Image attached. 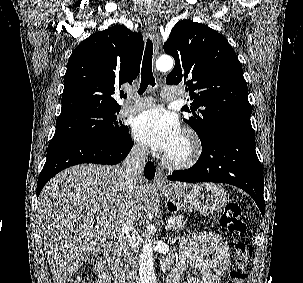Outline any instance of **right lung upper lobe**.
Masks as SVG:
<instances>
[{
  "label": "right lung upper lobe",
  "instance_id": "right-lung-upper-lobe-1",
  "mask_svg": "<svg viewBox=\"0 0 303 283\" xmlns=\"http://www.w3.org/2000/svg\"><path fill=\"white\" fill-rule=\"evenodd\" d=\"M144 48L141 33L123 25L99 31L72 52L64 76L60 116L86 110L119 111L113 96L140 72Z\"/></svg>",
  "mask_w": 303,
  "mask_h": 283
}]
</instances>
